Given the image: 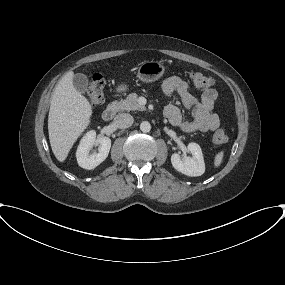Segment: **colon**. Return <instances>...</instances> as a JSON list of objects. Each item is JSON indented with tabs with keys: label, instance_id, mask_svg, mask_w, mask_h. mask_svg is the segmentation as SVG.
I'll return each mask as SVG.
<instances>
[{
	"label": "colon",
	"instance_id": "1",
	"mask_svg": "<svg viewBox=\"0 0 285 285\" xmlns=\"http://www.w3.org/2000/svg\"><path fill=\"white\" fill-rule=\"evenodd\" d=\"M190 80L196 88L208 89L214 84V80L199 72H192ZM104 85L105 80L102 74H94L90 80L87 96L91 105L99 106L104 102ZM228 141V137L224 131L218 130L212 137L215 146H221Z\"/></svg>",
	"mask_w": 285,
	"mask_h": 285
}]
</instances>
